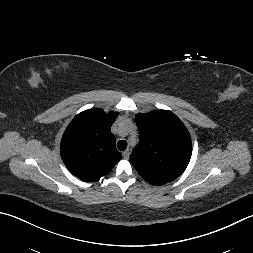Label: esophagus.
Returning <instances> with one entry per match:
<instances>
[{
  "label": "esophagus",
  "mask_w": 253,
  "mask_h": 253,
  "mask_svg": "<svg viewBox=\"0 0 253 253\" xmlns=\"http://www.w3.org/2000/svg\"><path fill=\"white\" fill-rule=\"evenodd\" d=\"M122 156H123V158H125V159H129V157H130V151H129V150H125V151L122 153Z\"/></svg>",
  "instance_id": "obj_1"
}]
</instances>
